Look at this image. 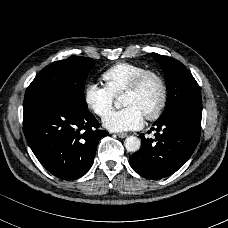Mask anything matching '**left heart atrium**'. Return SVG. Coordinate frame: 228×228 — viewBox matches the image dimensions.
Here are the masks:
<instances>
[{"mask_svg": "<svg viewBox=\"0 0 228 228\" xmlns=\"http://www.w3.org/2000/svg\"><path fill=\"white\" fill-rule=\"evenodd\" d=\"M143 114L135 107L129 106L107 113L103 125L115 132L129 131L139 128L143 124Z\"/></svg>", "mask_w": 228, "mask_h": 228, "instance_id": "39dd6f15", "label": "left heart atrium"}]
</instances>
